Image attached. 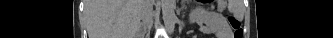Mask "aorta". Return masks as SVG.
I'll use <instances>...</instances> for the list:
<instances>
[{"instance_id": "aorta-1", "label": "aorta", "mask_w": 333, "mask_h": 38, "mask_svg": "<svg viewBox=\"0 0 333 38\" xmlns=\"http://www.w3.org/2000/svg\"><path fill=\"white\" fill-rule=\"evenodd\" d=\"M162 15L165 27L169 34H172L175 29L177 16L175 14L176 2L175 0H161Z\"/></svg>"}]
</instances>
